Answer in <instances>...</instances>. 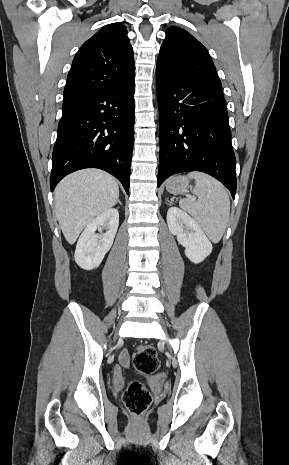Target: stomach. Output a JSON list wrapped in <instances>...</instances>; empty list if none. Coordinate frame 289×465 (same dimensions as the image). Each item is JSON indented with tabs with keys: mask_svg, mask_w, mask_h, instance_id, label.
Here are the masks:
<instances>
[{
	"mask_svg": "<svg viewBox=\"0 0 289 465\" xmlns=\"http://www.w3.org/2000/svg\"><path fill=\"white\" fill-rule=\"evenodd\" d=\"M189 187L190 179L185 176L173 177L166 184L167 191L172 194H183Z\"/></svg>",
	"mask_w": 289,
	"mask_h": 465,
	"instance_id": "obj_1",
	"label": "stomach"
}]
</instances>
